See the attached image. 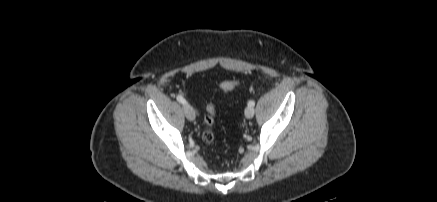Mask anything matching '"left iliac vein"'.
<instances>
[{"mask_svg": "<svg viewBox=\"0 0 437 202\" xmlns=\"http://www.w3.org/2000/svg\"><path fill=\"white\" fill-rule=\"evenodd\" d=\"M255 110L252 106H247L245 109V116L250 119L254 116Z\"/></svg>", "mask_w": 437, "mask_h": 202, "instance_id": "1", "label": "left iliac vein"}]
</instances>
